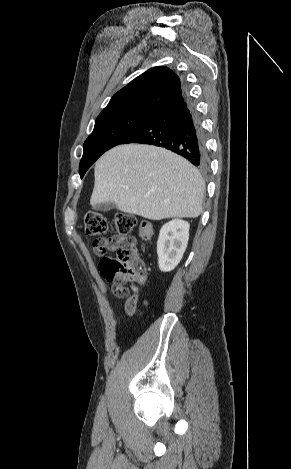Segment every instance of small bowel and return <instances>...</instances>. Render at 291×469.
<instances>
[{"instance_id": "c3829d8e", "label": "small bowel", "mask_w": 291, "mask_h": 469, "mask_svg": "<svg viewBox=\"0 0 291 469\" xmlns=\"http://www.w3.org/2000/svg\"><path fill=\"white\" fill-rule=\"evenodd\" d=\"M145 278H146V277H144L141 281L144 282V281H145Z\"/></svg>"}]
</instances>
